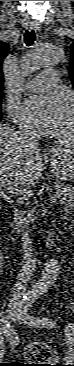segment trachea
<instances>
[{"label":"trachea","mask_w":74,"mask_h":366,"mask_svg":"<svg viewBox=\"0 0 74 366\" xmlns=\"http://www.w3.org/2000/svg\"><path fill=\"white\" fill-rule=\"evenodd\" d=\"M36 39L34 30H26L24 33V42L27 46L33 45L34 41Z\"/></svg>","instance_id":"obj_1"}]
</instances>
